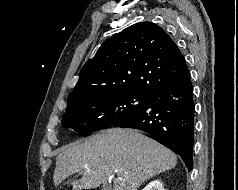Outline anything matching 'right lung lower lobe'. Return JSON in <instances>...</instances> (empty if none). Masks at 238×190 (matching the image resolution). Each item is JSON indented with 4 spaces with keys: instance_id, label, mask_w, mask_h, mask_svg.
Masks as SVG:
<instances>
[{
    "instance_id": "98d812e1",
    "label": "right lung lower lobe",
    "mask_w": 238,
    "mask_h": 190,
    "mask_svg": "<svg viewBox=\"0 0 238 190\" xmlns=\"http://www.w3.org/2000/svg\"><path fill=\"white\" fill-rule=\"evenodd\" d=\"M194 113L193 86L187 68L151 95L141 110L114 126L152 134L156 141L180 155L186 167L192 170Z\"/></svg>"
}]
</instances>
